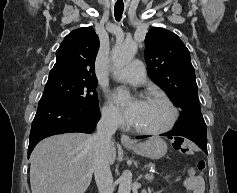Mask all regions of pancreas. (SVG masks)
Returning <instances> with one entry per match:
<instances>
[{
    "instance_id": "1",
    "label": "pancreas",
    "mask_w": 237,
    "mask_h": 193,
    "mask_svg": "<svg viewBox=\"0 0 237 193\" xmlns=\"http://www.w3.org/2000/svg\"><path fill=\"white\" fill-rule=\"evenodd\" d=\"M155 165L153 163H149L148 167H154Z\"/></svg>"
}]
</instances>
